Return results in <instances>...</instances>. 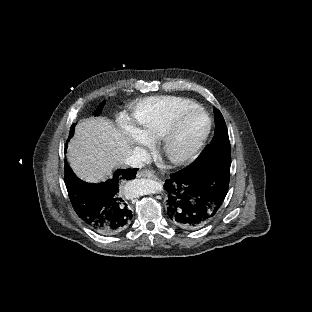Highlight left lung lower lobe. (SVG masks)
Wrapping results in <instances>:
<instances>
[{"label":"left lung lower lobe","instance_id":"1","mask_svg":"<svg viewBox=\"0 0 312 312\" xmlns=\"http://www.w3.org/2000/svg\"><path fill=\"white\" fill-rule=\"evenodd\" d=\"M231 158L220 156L172 174L165 181L167 214L179 228L198 229L219 213L228 192Z\"/></svg>","mask_w":312,"mask_h":312}]
</instances>
